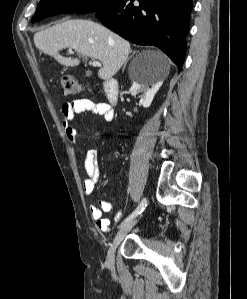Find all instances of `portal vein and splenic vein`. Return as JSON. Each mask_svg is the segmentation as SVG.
<instances>
[{
  "mask_svg": "<svg viewBox=\"0 0 247 299\" xmlns=\"http://www.w3.org/2000/svg\"><path fill=\"white\" fill-rule=\"evenodd\" d=\"M69 52H70V53H73L71 49H69ZM92 65H93L94 67H101L100 62H99V61H96V60L93 61Z\"/></svg>",
  "mask_w": 247,
  "mask_h": 299,
  "instance_id": "obj_1",
  "label": "portal vein and splenic vein"
}]
</instances>
